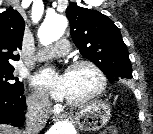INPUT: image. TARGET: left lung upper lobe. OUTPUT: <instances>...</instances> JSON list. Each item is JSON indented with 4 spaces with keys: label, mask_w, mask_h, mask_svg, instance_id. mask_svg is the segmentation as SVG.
<instances>
[{
    "label": "left lung upper lobe",
    "mask_w": 153,
    "mask_h": 134,
    "mask_svg": "<svg viewBox=\"0 0 153 134\" xmlns=\"http://www.w3.org/2000/svg\"><path fill=\"white\" fill-rule=\"evenodd\" d=\"M66 15L73 42L85 58L94 62L110 81L133 78L128 50L110 18L74 3L68 6Z\"/></svg>",
    "instance_id": "5c2ea615"
}]
</instances>
